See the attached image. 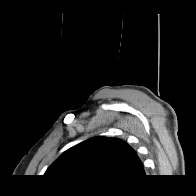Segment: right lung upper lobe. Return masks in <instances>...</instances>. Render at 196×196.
Returning a JSON list of instances; mask_svg holds the SVG:
<instances>
[{
  "mask_svg": "<svg viewBox=\"0 0 196 196\" xmlns=\"http://www.w3.org/2000/svg\"><path fill=\"white\" fill-rule=\"evenodd\" d=\"M44 176L60 182L113 186L137 181L145 173L131 146L117 138L100 136L65 151Z\"/></svg>",
  "mask_w": 196,
  "mask_h": 196,
  "instance_id": "cb5924a9",
  "label": "right lung upper lobe"
}]
</instances>
